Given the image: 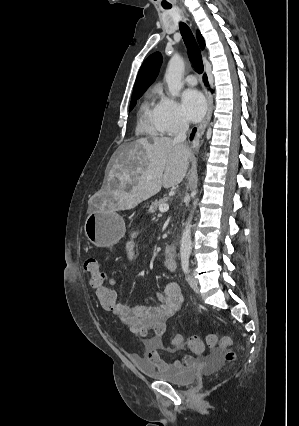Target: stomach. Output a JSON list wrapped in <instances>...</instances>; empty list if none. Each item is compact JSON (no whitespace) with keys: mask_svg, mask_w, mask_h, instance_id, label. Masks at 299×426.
Returning a JSON list of instances; mask_svg holds the SVG:
<instances>
[{"mask_svg":"<svg viewBox=\"0 0 299 426\" xmlns=\"http://www.w3.org/2000/svg\"><path fill=\"white\" fill-rule=\"evenodd\" d=\"M85 235L97 247L109 248L125 234V222L115 209L102 207L92 211L86 218Z\"/></svg>","mask_w":299,"mask_h":426,"instance_id":"0dacf381","label":"stomach"}]
</instances>
